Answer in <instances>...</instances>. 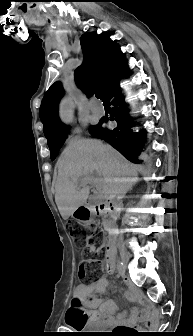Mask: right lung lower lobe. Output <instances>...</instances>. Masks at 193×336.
<instances>
[{
  "label": "right lung lower lobe",
  "mask_w": 193,
  "mask_h": 336,
  "mask_svg": "<svg viewBox=\"0 0 193 336\" xmlns=\"http://www.w3.org/2000/svg\"><path fill=\"white\" fill-rule=\"evenodd\" d=\"M126 74L127 71L123 69L104 96L107 103L114 106L112 115L110 118L101 120L96 130L91 134L96 138L105 140L128 160L137 164L141 162L139 155L144 147L145 137L144 133H134L131 130L132 121L119 87L120 77ZM108 120L116 121L117 127L113 129L102 128L101 124Z\"/></svg>",
  "instance_id": "right-lung-lower-lobe-1"
}]
</instances>
